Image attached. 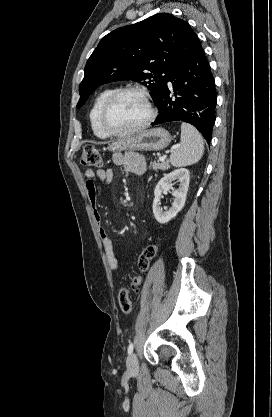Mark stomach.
<instances>
[{"label": "stomach", "mask_w": 272, "mask_h": 417, "mask_svg": "<svg viewBox=\"0 0 272 417\" xmlns=\"http://www.w3.org/2000/svg\"><path fill=\"white\" fill-rule=\"evenodd\" d=\"M171 140L172 137L166 129L157 127L117 141L110 145L109 149L112 151H160L165 149Z\"/></svg>", "instance_id": "obj_1"}]
</instances>
